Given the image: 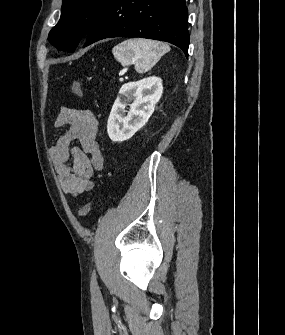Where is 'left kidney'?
Listing matches in <instances>:
<instances>
[{
  "label": "left kidney",
  "mask_w": 285,
  "mask_h": 335,
  "mask_svg": "<svg viewBox=\"0 0 285 335\" xmlns=\"http://www.w3.org/2000/svg\"><path fill=\"white\" fill-rule=\"evenodd\" d=\"M162 94V80L156 76L123 84L107 122L110 140L125 142L132 138L148 122ZM128 100H134L133 104H127ZM126 106H130V110L127 116H124Z\"/></svg>",
  "instance_id": "obj_1"
}]
</instances>
